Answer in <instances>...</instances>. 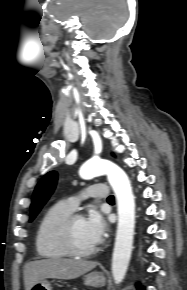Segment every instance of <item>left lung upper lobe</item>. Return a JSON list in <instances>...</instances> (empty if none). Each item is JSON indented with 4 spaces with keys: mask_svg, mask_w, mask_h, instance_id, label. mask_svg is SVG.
I'll use <instances>...</instances> for the list:
<instances>
[{
    "mask_svg": "<svg viewBox=\"0 0 187 290\" xmlns=\"http://www.w3.org/2000/svg\"><path fill=\"white\" fill-rule=\"evenodd\" d=\"M57 183V173L51 171L47 173L35 188L30 208V221L39 213L43 205L53 193Z\"/></svg>",
    "mask_w": 187,
    "mask_h": 290,
    "instance_id": "left-lung-upper-lobe-1",
    "label": "left lung upper lobe"
}]
</instances>
